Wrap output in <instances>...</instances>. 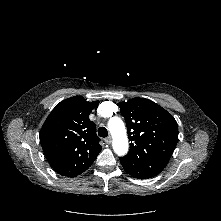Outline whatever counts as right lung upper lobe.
I'll return each instance as SVG.
<instances>
[{
	"label": "right lung upper lobe",
	"instance_id": "obj_1",
	"mask_svg": "<svg viewBox=\"0 0 221 221\" xmlns=\"http://www.w3.org/2000/svg\"><path fill=\"white\" fill-rule=\"evenodd\" d=\"M99 101L74 96L61 101L40 131V143L51 167L60 175L76 177L86 171L101 151L96 125L89 114Z\"/></svg>",
	"mask_w": 221,
	"mask_h": 221
}]
</instances>
